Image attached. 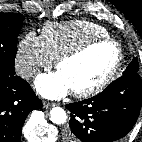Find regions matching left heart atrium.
Instances as JSON below:
<instances>
[{
	"instance_id": "1",
	"label": "left heart atrium",
	"mask_w": 142,
	"mask_h": 142,
	"mask_svg": "<svg viewBox=\"0 0 142 142\" xmlns=\"http://www.w3.org/2000/svg\"><path fill=\"white\" fill-rule=\"evenodd\" d=\"M37 91L44 97L58 99L71 91V87L59 71L41 75L35 82Z\"/></svg>"
}]
</instances>
